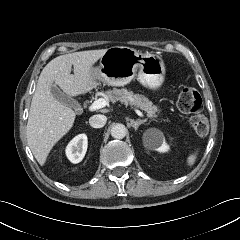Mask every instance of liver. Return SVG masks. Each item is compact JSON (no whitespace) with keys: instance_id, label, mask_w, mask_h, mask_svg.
I'll return each instance as SVG.
<instances>
[{"instance_id":"obj_1","label":"liver","mask_w":240,"mask_h":240,"mask_svg":"<svg viewBox=\"0 0 240 240\" xmlns=\"http://www.w3.org/2000/svg\"><path fill=\"white\" fill-rule=\"evenodd\" d=\"M107 49L80 51L58 56L42 70L29 111L28 145L43 166L53 146L72 128L76 113L56 100L51 86L57 84L68 96H77L97 86L93 64ZM72 65L74 74H71Z\"/></svg>"}]
</instances>
